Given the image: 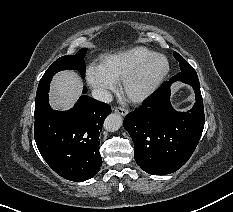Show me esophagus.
<instances>
[{
  "label": "esophagus",
  "mask_w": 233,
  "mask_h": 212,
  "mask_svg": "<svg viewBox=\"0 0 233 212\" xmlns=\"http://www.w3.org/2000/svg\"><path fill=\"white\" fill-rule=\"evenodd\" d=\"M114 111L122 116H126L128 114V109L123 107H115Z\"/></svg>",
  "instance_id": "obj_1"
}]
</instances>
